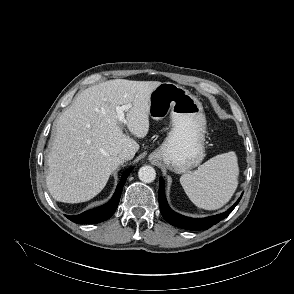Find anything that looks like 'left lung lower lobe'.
<instances>
[{"label": "left lung lower lobe", "instance_id": "obj_1", "mask_svg": "<svg viewBox=\"0 0 294 294\" xmlns=\"http://www.w3.org/2000/svg\"><path fill=\"white\" fill-rule=\"evenodd\" d=\"M158 199L161 213L164 219L171 225L187 230H207L211 226L217 224L223 218L227 217L228 214H230L239 203L241 198H239L229 210L222 214L201 219L189 218L182 216L170 209L164 194V181L162 178H160Z\"/></svg>", "mask_w": 294, "mask_h": 294}]
</instances>
